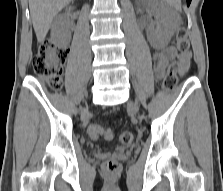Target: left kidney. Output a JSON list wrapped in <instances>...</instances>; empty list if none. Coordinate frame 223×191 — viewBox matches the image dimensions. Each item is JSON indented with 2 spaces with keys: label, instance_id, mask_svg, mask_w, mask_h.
Listing matches in <instances>:
<instances>
[{
  "label": "left kidney",
  "instance_id": "1",
  "mask_svg": "<svg viewBox=\"0 0 223 191\" xmlns=\"http://www.w3.org/2000/svg\"><path fill=\"white\" fill-rule=\"evenodd\" d=\"M145 4L155 12L157 20L155 27L148 29L149 37L159 43H168L179 22L178 16L171 8L157 1H146Z\"/></svg>",
  "mask_w": 223,
  "mask_h": 191
}]
</instances>
